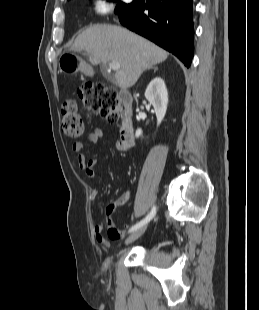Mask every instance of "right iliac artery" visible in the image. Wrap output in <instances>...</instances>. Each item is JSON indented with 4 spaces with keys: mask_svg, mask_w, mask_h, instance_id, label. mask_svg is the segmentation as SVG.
<instances>
[{
    "mask_svg": "<svg viewBox=\"0 0 259 310\" xmlns=\"http://www.w3.org/2000/svg\"><path fill=\"white\" fill-rule=\"evenodd\" d=\"M156 214V208L153 207L152 210L150 211V213L140 222H138L136 225H134L129 232L135 231L138 228L144 226L146 223H148Z\"/></svg>",
    "mask_w": 259,
    "mask_h": 310,
    "instance_id": "right-iliac-artery-1",
    "label": "right iliac artery"
}]
</instances>
